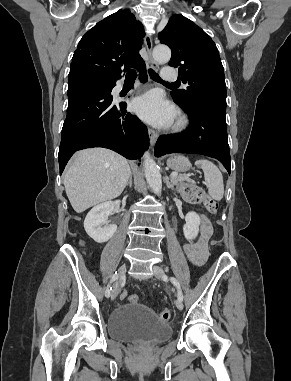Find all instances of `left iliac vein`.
I'll use <instances>...</instances> for the list:
<instances>
[{
    "label": "left iliac vein",
    "instance_id": "4c4485c4",
    "mask_svg": "<svg viewBox=\"0 0 291 381\" xmlns=\"http://www.w3.org/2000/svg\"><path fill=\"white\" fill-rule=\"evenodd\" d=\"M153 271H154V274H155L156 278H158V279H165V272H164V270L161 267H159V266H153ZM176 307L179 310L183 309V302L179 298L176 300Z\"/></svg>",
    "mask_w": 291,
    "mask_h": 381
}]
</instances>
